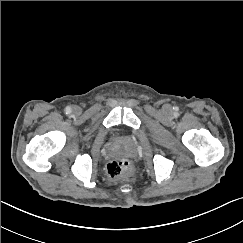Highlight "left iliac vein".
Masks as SVG:
<instances>
[{
  "label": "left iliac vein",
  "mask_w": 243,
  "mask_h": 243,
  "mask_svg": "<svg viewBox=\"0 0 243 243\" xmlns=\"http://www.w3.org/2000/svg\"><path fill=\"white\" fill-rule=\"evenodd\" d=\"M169 108H170L169 106H165V110H169Z\"/></svg>",
  "instance_id": "obj_1"
}]
</instances>
